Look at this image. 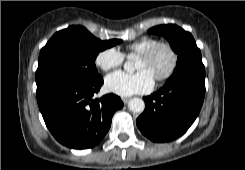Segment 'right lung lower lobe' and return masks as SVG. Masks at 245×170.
<instances>
[{"mask_svg": "<svg viewBox=\"0 0 245 170\" xmlns=\"http://www.w3.org/2000/svg\"><path fill=\"white\" fill-rule=\"evenodd\" d=\"M102 77L88 83L60 85L37 95L46 126L61 144L74 149L97 145L108 132L112 116L123 107L120 97L93 99Z\"/></svg>", "mask_w": 245, "mask_h": 170, "instance_id": "1", "label": "right lung lower lobe"}]
</instances>
